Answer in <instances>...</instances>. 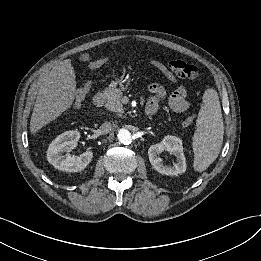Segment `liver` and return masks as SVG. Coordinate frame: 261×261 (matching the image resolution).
<instances>
[{
	"label": "liver",
	"instance_id": "1",
	"mask_svg": "<svg viewBox=\"0 0 261 261\" xmlns=\"http://www.w3.org/2000/svg\"><path fill=\"white\" fill-rule=\"evenodd\" d=\"M75 78L70 59L61 61L45 76L31 116L30 132L32 134L71 107L75 98Z\"/></svg>",
	"mask_w": 261,
	"mask_h": 261
}]
</instances>
